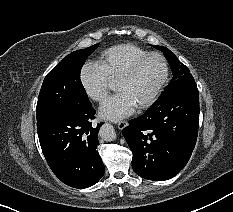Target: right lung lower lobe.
<instances>
[{
  "label": "right lung lower lobe",
  "mask_w": 233,
  "mask_h": 212,
  "mask_svg": "<svg viewBox=\"0 0 233 212\" xmlns=\"http://www.w3.org/2000/svg\"><path fill=\"white\" fill-rule=\"evenodd\" d=\"M92 105L58 116L37 129L42 152L53 173L66 185L87 188L104 175L105 167L96 148L98 129Z\"/></svg>",
  "instance_id": "right-lung-lower-lobe-1"
}]
</instances>
